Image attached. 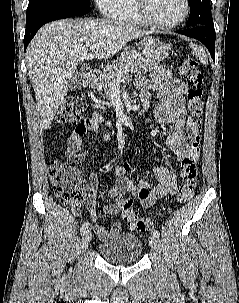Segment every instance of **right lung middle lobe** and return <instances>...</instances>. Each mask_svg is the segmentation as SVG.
Returning <instances> with one entry per match:
<instances>
[{"mask_svg": "<svg viewBox=\"0 0 239 303\" xmlns=\"http://www.w3.org/2000/svg\"><path fill=\"white\" fill-rule=\"evenodd\" d=\"M90 7V0H29L27 14L45 8Z\"/></svg>", "mask_w": 239, "mask_h": 303, "instance_id": "dd1d6c3e", "label": "right lung middle lobe"}]
</instances>
